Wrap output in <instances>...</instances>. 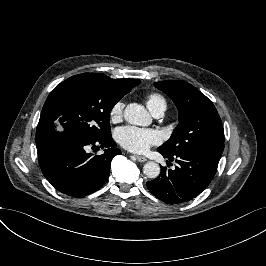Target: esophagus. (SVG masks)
Segmentation results:
<instances>
[{"label":"esophagus","mask_w":266,"mask_h":266,"mask_svg":"<svg viewBox=\"0 0 266 266\" xmlns=\"http://www.w3.org/2000/svg\"><path fill=\"white\" fill-rule=\"evenodd\" d=\"M134 157H135V159H136L138 162H141V163L147 161L146 157L141 156V155H134Z\"/></svg>","instance_id":"esophagus-1"}]
</instances>
